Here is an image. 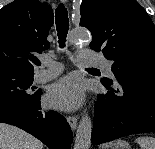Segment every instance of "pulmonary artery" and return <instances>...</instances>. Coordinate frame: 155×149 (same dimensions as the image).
<instances>
[{"label":"pulmonary artery","mask_w":155,"mask_h":149,"mask_svg":"<svg viewBox=\"0 0 155 149\" xmlns=\"http://www.w3.org/2000/svg\"><path fill=\"white\" fill-rule=\"evenodd\" d=\"M78 58L79 63L82 65L101 66L108 73L112 74L111 63L94 51L82 49L78 53ZM42 64L45 68L37 71L35 74V80L37 82H46L51 80L59 75L63 69L60 63L55 62L48 57L42 58Z\"/></svg>","instance_id":"obj_1"}]
</instances>
